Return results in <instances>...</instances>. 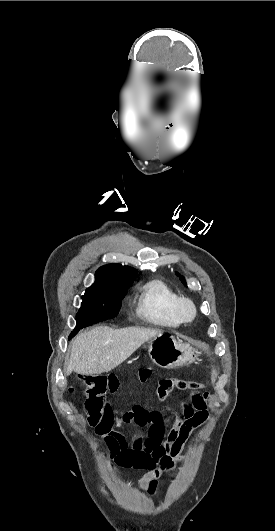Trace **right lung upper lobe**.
I'll return each instance as SVG.
<instances>
[{
    "mask_svg": "<svg viewBox=\"0 0 275 531\" xmlns=\"http://www.w3.org/2000/svg\"><path fill=\"white\" fill-rule=\"evenodd\" d=\"M137 270L120 264H107L100 267L95 274L94 284H117L133 282Z\"/></svg>",
    "mask_w": 275,
    "mask_h": 531,
    "instance_id": "cb5924a9",
    "label": "right lung upper lobe"
}]
</instances>
